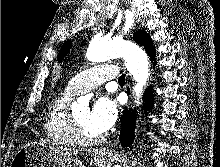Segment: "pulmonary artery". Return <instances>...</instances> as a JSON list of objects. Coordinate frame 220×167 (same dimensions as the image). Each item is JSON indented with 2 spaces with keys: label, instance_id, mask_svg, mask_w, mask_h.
I'll return each mask as SVG.
<instances>
[{
  "label": "pulmonary artery",
  "instance_id": "e3ab8cb5",
  "mask_svg": "<svg viewBox=\"0 0 220 167\" xmlns=\"http://www.w3.org/2000/svg\"><path fill=\"white\" fill-rule=\"evenodd\" d=\"M118 68L108 63L86 69L76 74L69 82L67 89L74 94H82L95 89L104 82L117 78Z\"/></svg>",
  "mask_w": 220,
  "mask_h": 167
}]
</instances>
